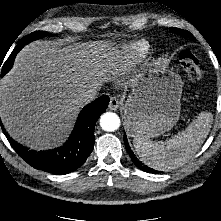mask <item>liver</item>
I'll return each mask as SVG.
<instances>
[{
    "label": "liver",
    "mask_w": 221,
    "mask_h": 221,
    "mask_svg": "<svg viewBox=\"0 0 221 221\" xmlns=\"http://www.w3.org/2000/svg\"><path fill=\"white\" fill-rule=\"evenodd\" d=\"M90 52L44 41L19 52L0 86V118L12 138L35 149L62 141L83 106L77 95L105 76Z\"/></svg>",
    "instance_id": "obj_1"
}]
</instances>
